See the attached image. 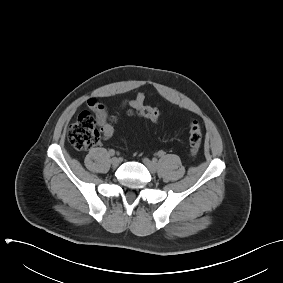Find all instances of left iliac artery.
I'll list each match as a JSON object with an SVG mask.
<instances>
[{
    "label": "left iliac artery",
    "instance_id": "1",
    "mask_svg": "<svg viewBox=\"0 0 283 283\" xmlns=\"http://www.w3.org/2000/svg\"><path fill=\"white\" fill-rule=\"evenodd\" d=\"M164 154H165V152H164V151H162V150L158 152V156H159V157H163V156H164Z\"/></svg>",
    "mask_w": 283,
    "mask_h": 283
}]
</instances>
